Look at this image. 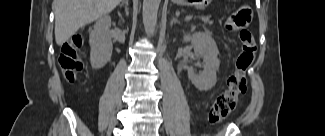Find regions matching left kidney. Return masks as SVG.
Here are the masks:
<instances>
[{"instance_id": "5707ae66", "label": "left kidney", "mask_w": 325, "mask_h": 136, "mask_svg": "<svg viewBox=\"0 0 325 136\" xmlns=\"http://www.w3.org/2000/svg\"><path fill=\"white\" fill-rule=\"evenodd\" d=\"M184 42H191L196 56L203 59V71L197 73L192 67L188 68V77L200 91L210 90L217 81L216 72L220 66L218 47L214 39L206 32H196L184 35Z\"/></svg>"}]
</instances>
